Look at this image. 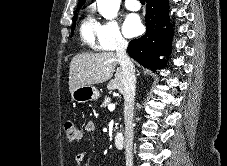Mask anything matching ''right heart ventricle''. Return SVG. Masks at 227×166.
Here are the masks:
<instances>
[{"mask_svg":"<svg viewBox=\"0 0 227 166\" xmlns=\"http://www.w3.org/2000/svg\"><path fill=\"white\" fill-rule=\"evenodd\" d=\"M80 36L83 43L92 50L100 49L98 41V22L90 15L84 17L80 25Z\"/></svg>","mask_w":227,"mask_h":166,"instance_id":"1","label":"right heart ventricle"}]
</instances>
